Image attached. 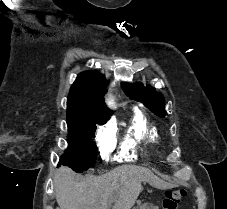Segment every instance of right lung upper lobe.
<instances>
[{
  "label": "right lung upper lobe",
  "mask_w": 227,
  "mask_h": 209,
  "mask_svg": "<svg viewBox=\"0 0 227 209\" xmlns=\"http://www.w3.org/2000/svg\"><path fill=\"white\" fill-rule=\"evenodd\" d=\"M108 81L97 71H85L78 75L71 86L67 100V119L98 116L108 118L111 111L104 103Z\"/></svg>",
  "instance_id": "cb5924a9"
}]
</instances>
